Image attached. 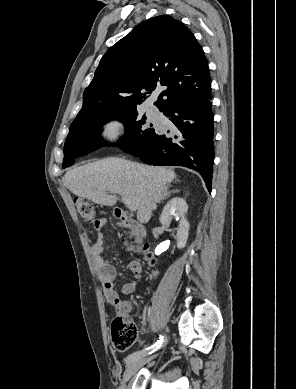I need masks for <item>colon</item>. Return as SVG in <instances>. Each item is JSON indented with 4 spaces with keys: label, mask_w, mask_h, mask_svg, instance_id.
<instances>
[{
    "label": "colon",
    "mask_w": 296,
    "mask_h": 389,
    "mask_svg": "<svg viewBox=\"0 0 296 389\" xmlns=\"http://www.w3.org/2000/svg\"><path fill=\"white\" fill-rule=\"evenodd\" d=\"M75 206L84 221L96 223V207L93 203L79 198L75 200ZM140 247L144 253V259L147 264L150 267H154L156 260L149 252L147 244H142ZM153 274H155V272H153ZM110 334L114 347L119 351H125L129 349L136 340L137 328L132 321L119 314L111 322Z\"/></svg>",
    "instance_id": "5ec220e1"
}]
</instances>
